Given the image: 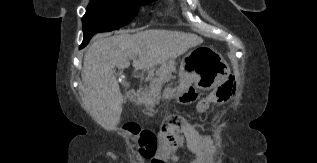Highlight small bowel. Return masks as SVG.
<instances>
[{"label":"small bowel","instance_id":"c3829d8e","mask_svg":"<svg viewBox=\"0 0 317 163\" xmlns=\"http://www.w3.org/2000/svg\"><path fill=\"white\" fill-rule=\"evenodd\" d=\"M160 150L150 163H177L178 151L187 149L193 154L190 163H210V151L201 143L194 127L181 117L167 118L158 131Z\"/></svg>","mask_w":317,"mask_h":163}]
</instances>
